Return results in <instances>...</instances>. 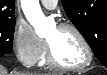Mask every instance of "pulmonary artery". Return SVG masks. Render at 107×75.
Returning a JSON list of instances; mask_svg holds the SVG:
<instances>
[{
  "mask_svg": "<svg viewBox=\"0 0 107 75\" xmlns=\"http://www.w3.org/2000/svg\"><path fill=\"white\" fill-rule=\"evenodd\" d=\"M42 5L47 9H55L57 6V0H41Z\"/></svg>",
  "mask_w": 107,
  "mask_h": 75,
  "instance_id": "pulmonary-artery-1",
  "label": "pulmonary artery"
}]
</instances>
